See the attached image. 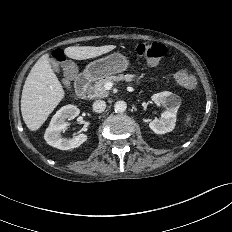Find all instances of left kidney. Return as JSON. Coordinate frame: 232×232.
<instances>
[{"mask_svg": "<svg viewBox=\"0 0 232 232\" xmlns=\"http://www.w3.org/2000/svg\"><path fill=\"white\" fill-rule=\"evenodd\" d=\"M151 99L155 104L165 106L166 110L160 119H154L149 123L150 129L156 134L171 132L175 128L176 113L181 103L180 98L169 91H163L152 95Z\"/></svg>", "mask_w": 232, "mask_h": 232, "instance_id": "1", "label": "left kidney"}]
</instances>
